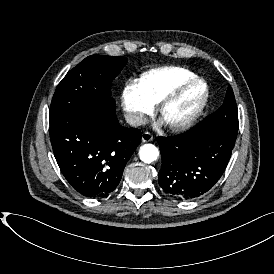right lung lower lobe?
<instances>
[{
  "label": "right lung lower lobe",
  "mask_w": 274,
  "mask_h": 274,
  "mask_svg": "<svg viewBox=\"0 0 274 274\" xmlns=\"http://www.w3.org/2000/svg\"><path fill=\"white\" fill-rule=\"evenodd\" d=\"M50 139L70 185L84 196L104 198L119 184L141 132L121 126L115 110H92L51 123Z\"/></svg>",
  "instance_id": "1"
}]
</instances>
